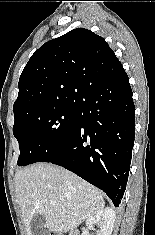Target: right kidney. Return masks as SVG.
<instances>
[{
  "mask_svg": "<svg viewBox=\"0 0 155 235\" xmlns=\"http://www.w3.org/2000/svg\"><path fill=\"white\" fill-rule=\"evenodd\" d=\"M115 218V211L112 208H105L91 215L86 221V226L89 229H93L95 225L98 226L100 229L96 235H111Z\"/></svg>",
  "mask_w": 155,
  "mask_h": 235,
  "instance_id": "obj_1",
  "label": "right kidney"
}]
</instances>
